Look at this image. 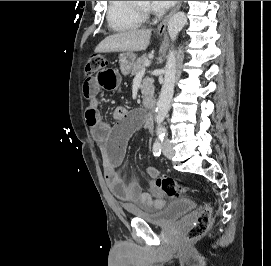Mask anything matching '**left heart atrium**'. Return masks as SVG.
Segmentation results:
<instances>
[{"mask_svg":"<svg viewBox=\"0 0 271 266\" xmlns=\"http://www.w3.org/2000/svg\"><path fill=\"white\" fill-rule=\"evenodd\" d=\"M176 1H151L153 10H165L170 8Z\"/></svg>","mask_w":271,"mask_h":266,"instance_id":"left-heart-atrium-1","label":"left heart atrium"}]
</instances>
